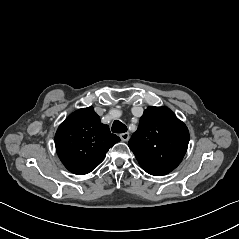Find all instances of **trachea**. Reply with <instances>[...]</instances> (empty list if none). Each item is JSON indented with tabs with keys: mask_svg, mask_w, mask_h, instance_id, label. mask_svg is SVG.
<instances>
[{
	"mask_svg": "<svg viewBox=\"0 0 239 239\" xmlns=\"http://www.w3.org/2000/svg\"><path fill=\"white\" fill-rule=\"evenodd\" d=\"M112 132L113 133H124L127 132V127L119 120H115L112 125Z\"/></svg>",
	"mask_w": 239,
	"mask_h": 239,
	"instance_id": "1",
	"label": "trachea"
}]
</instances>
